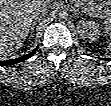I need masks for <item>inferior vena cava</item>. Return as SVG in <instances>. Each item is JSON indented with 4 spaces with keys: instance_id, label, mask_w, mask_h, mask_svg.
I'll return each mask as SVG.
<instances>
[{
    "instance_id": "inferior-vena-cava-1",
    "label": "inferior vena cava",
    "mask_w": 111,
    "mask_h": 106,
    "mask_svg": "<svg viewBox=\"0 0 111 106\" xmlns=\"http://www.w3.org/2000/svg\"><path fill=\"white\" fill-rule=\"evenodd\" d=\"M48 14V10L44 4H37L31 10L32 18L35 20H41V18L45 17Z\"/></svg>"
}]
</instances>
